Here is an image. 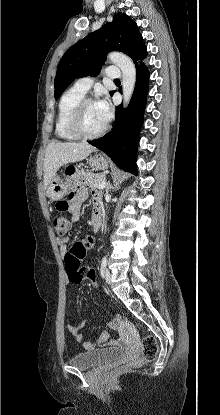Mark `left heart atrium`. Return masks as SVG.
Returning a JSON list of instances; mask_svg holds the SVG:
<instances>
[{
    "label": "left heart atrium",
    "instance_id": "39dd6f15",
    "mask_svg": "<svg viewBox=\"0 0 220 415\" xmlns=\"http://www.w3.org/2000/svg\"><path fill=\"white\" fill-rule=\"evenodd\" d=\"M97 110L99 113V116L103 120L104 123H107L112 115V108L111 104L107 97H104L96 102Z\"/></svg>",
    "mask_w": 220,
    "mask_h": 415
}]
</instances>
